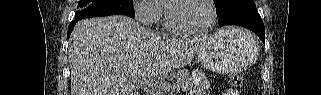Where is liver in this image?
I'll use <instances>...</instances> for the list:
<instances>
[{
	"label": "liver",
	"instance_id": "obj_1",
	"mask_svg": "<svg viewBox=\"0 0 321 95\" xmlns=\"http://www.w3.org/2000/svg\"><path fill=\"white\" fill-rule=\"evenodd\" d=\"M205 42L170 40L121 15L81 20L70 37L71 95H133L189 64Z\"/></svg>",
	"mask_w": 321,
	"mask_h": 95
}]
</instances>
